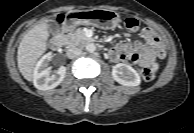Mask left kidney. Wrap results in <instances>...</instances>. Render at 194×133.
<instances>
[{
	"mask_svg": "<svg viewBox=\"0 0 194 133\" xmlns=\"http://www.w3.org/2000/svg\"><path fill=\"white\" fill-rule=\"evenodd\" d=\"M112 77L123 86L134 87L141 83L139 74L131 66L124 63L113 66Z\"/></svg>",
	"mask_w": 194,
	"mask_h": 133,
	"instance_id": "1",
	"label": "left kidney"
}]
</instances>
